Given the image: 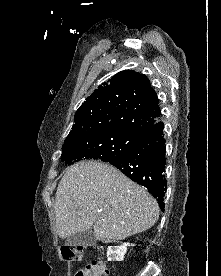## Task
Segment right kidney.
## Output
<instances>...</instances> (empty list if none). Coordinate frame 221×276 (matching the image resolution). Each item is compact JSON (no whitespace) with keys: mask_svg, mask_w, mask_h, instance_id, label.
<instances>
[{"mask_svg":"<svg viewBox=\"0 0 221 276\" xmlns=\"http://www.w3.org/2000/svg\"><path fill=\"white\" fill-rule=\"evenodd\" d=\"M127 246H129V243H123L119 246H109L107 249L108 261H122L127 252Z\"/></svg>","mask_w":221,"mask_h":276,"instance_id":"right-kidney-1","label":"right kidney"}]
</instances>
